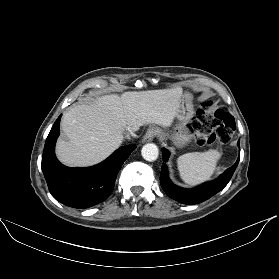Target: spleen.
Returning a JSON list of instances; mask_svg holds the SVG:
<instances>
[{"instance_id":"1","label":"spleen","mask_w":279,"mask_h":279,"mask_svg":"<svg viewBox=\"0 0 279 279\" xmlns=\"http://www.w3.org/2000/svg\"><path fill=\"white\" fill-rule=\"evenodd\" d=\"M220 157L221 153L217 149L181 155L177 160L181 178L191 186L208 181L214 174Z\"/></svg>"}]
</instances>
